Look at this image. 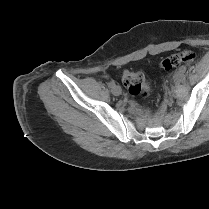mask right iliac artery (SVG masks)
I'll list each match as a JSON object with an SVG mask.
<instances>
[{
  "instance_id": "right-iliac-artery-1",
  "label": "right iliac artery",
  "mask_w": 209,
  "mask_h": 209,
  "mask_svg": "<svg viewBox=\"0 0 209 209\" xmlns=\"http://www.w3.org/2000/svg\"><path fill=\"white\" fill-rule=\"evenodd\" d=\"M113 86H115V81L114 80H112V81L109 82V87L112 88Z\"/></svg>"
}]
</instances>
